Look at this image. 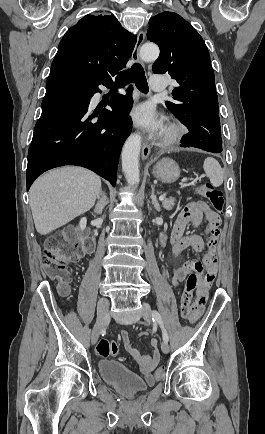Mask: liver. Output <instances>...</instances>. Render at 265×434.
<instances>
[{"label": "liver", "instance_id": "1", "mask_svg": "<svg viewBox=\"0 0 265 434\" xmlns=\"http://www.w3.org/2000/svg\"><path fill=\"white\" fill-rule=\"evenodd\" d=\"M101 192V178L84 168H58L30 188V208L38 234L45 236L85 214Z\"/></svg>", "mask_w": 265, "mask_h": 434}]
</instances>
